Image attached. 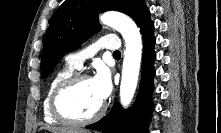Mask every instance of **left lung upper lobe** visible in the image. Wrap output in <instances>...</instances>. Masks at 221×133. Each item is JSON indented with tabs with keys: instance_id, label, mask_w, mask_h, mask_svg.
Segmentation results:
<instances>
[{
	"instance_id": "1",
	"label": "left lung upper lobe",
	"mask_w": 221,
	"mask_h": 133,
	"mask_svg": "<svg viewBox=\"0 0 221 133\" xmlns=\"http://www.w3.org/2000/svg\"><path fill=\"white\" fill-rule=\"evenodd\" d=\"M107 10L127 14L140 30L151 22L145 0H66L53 15L45 36L41 59L43 78L65 54L79 48L100 29L98 15Z\"/></svg>"
}]
</instances>
